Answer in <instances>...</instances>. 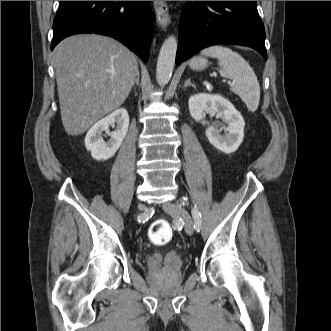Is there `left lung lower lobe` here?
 <instances>
[{"label":"left lung lower lobe","mask_w":331,"mask_h":331,"mask_svg":"<svg viewBox=\"0 0 331 331\" xmlns=\"http://www.w3.org/2000/svg\"><path fill=\"white\" fill-rule=\"evenodd\" d=\"M215 44L248 46L267 60L256 1H187L181 12L176 64Z\"/></svg>","instance_id":"left-lung-lower-lobe-1"}]
</instances>
